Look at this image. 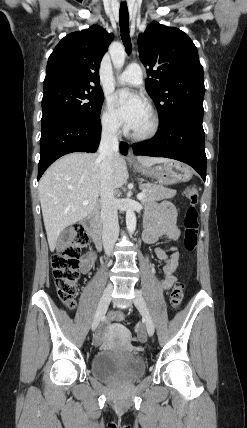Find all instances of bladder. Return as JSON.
<instances>
[{
    "label": "bladder",
    "mask_w": 247,
    "mask_h": 428,
    "mask_svg": "<svg viewBox=\"0 0 247 428\" xmlns=\"http://www.w3.org/2000/svg\"><path fill=\"white\" fill-rule=\"evenodd\" d=\"M92 373L102 380L123 376L129 380L141 377L145 371L143 358L132 350H102L92 360Z\"/></svg>",
    "instance_id": "1"
}]
</instances>
